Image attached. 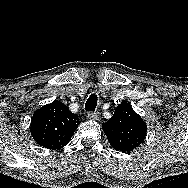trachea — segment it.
Returning a JSON list of instances; mask_svg holds the SVG:
<instances>
[{"label": "trachea", "instance_id": "1", "mask_svg": "<svg viewBox=\"0 0 188 188\" xmlns=\"http://www.w3.org/2000/svg\"><path fill=\"white\" fill-rule=\"evenodd\" d=\"M98 97L95 93L91 94L85 103V110L94 112L97 106Z\"/></svg>", "mask_w": 188, "mask_h": 188}]
</instances>
